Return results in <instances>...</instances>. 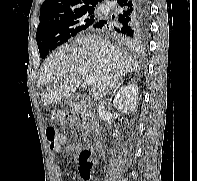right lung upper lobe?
<instances>
[{
  "label": "right lung upper lobe",
  "instance_id": "1",
  "mask_svg": "<svg viewBox=\"0 0 197 181\" xmlns=\"http://www.w3.org/2000/svg\"><path fill=\"white\" fill-rule=\"evenodd\" d=\"M102 0H46L40 9V20L57 16L81 7L96 5Z\"/></svg>",
  "mask_w": 197,
  "mask_h": 181
}]
</instances>
